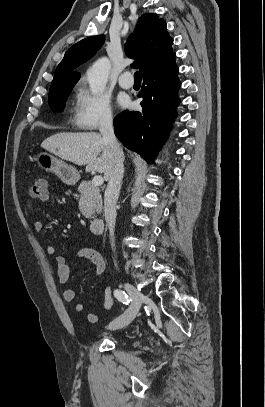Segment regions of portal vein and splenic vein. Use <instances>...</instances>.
Masks as SVG:
<instances>
[{
	"instance_id": "obj_1",
	"label": "portal vein and splenic vein",
	"mask_w": 265,
	"mask_h": 407,
	"mask_svg": "<svg viewBox=\"0 0 265 407\" xmlns=\"http://www.w3.org/2000/svg\"><path fill=\"white\" fill-rule=\"evenodd\" d=\"M103 182H104V180H103L102 176H100V175H96L92 179V183L95 186H101L103 184Z\"/></svg>"
}]
</instances>
